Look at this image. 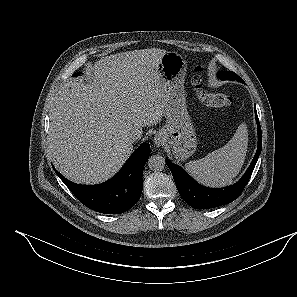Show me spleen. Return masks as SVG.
<instances>
[{"instance_id": "1", "label": "spleen", "mask_w": 297, "mask_h": 297, "mask_svg": "<svg viewBox=\"0 0 297 297\" xmlns=\"http://www.w3.org/2000/svg\"><path fill=\"white\" fill-rule=\"evenodd\" d=\"M248 148V130L241 123L232 139L202 159L190 161L185 168L197 181L211 187H222L232 183L240 172Z\"/></svg>"}]
</instances>
